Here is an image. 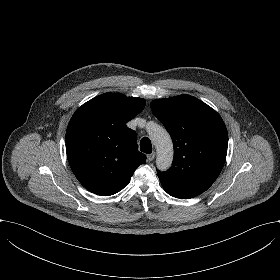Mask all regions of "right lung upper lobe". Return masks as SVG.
I'll return each mask as SVG.
<instances>
[{
    "label": "right lung upper lobe",
    "mask_w": 280,
    "mask_h": 280,
    "mask_svg": "<svg viewBox=\"0 0 280 280\" xmlns=\"http://www.w3.org/2000/svg\"><path fill=\"white\" fill-rule=\"evenodd\" d=\"M144 106L143 98L104 93L72 116L66 132L67 158L76 178L92 193L119 192L146 162L138 151L136 132L126 126Z\"/></svg>",
    "instance_id": "cb5924a9"
}]
</instances>
